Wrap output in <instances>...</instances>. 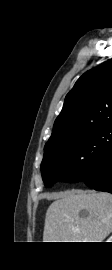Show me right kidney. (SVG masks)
<instances>
[{"mask_svg":"<svg viewBox=\"0 0 112 270\" xmlns=\"http://www.w3.org/2000/svg\"><path fill=\"white\" fill-rule=\"evenodd\" d=\"M106 242H112V236H110Z\"/></svg>","mask_w":112,"mask_h":270,"instance_id":"ca27d5eb","label":"right kidney"}]
</instances>
